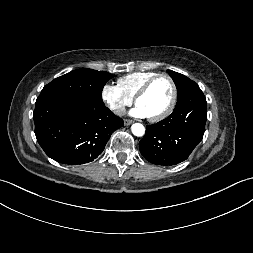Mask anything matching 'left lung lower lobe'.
<instances>
[{"instance_id": "obj_1", "label": "left lung lower lobe", "mask_w": 253, "mask_h": 253, "mask_svg": "<svg viewBox=\"0 0 253 253\" xmlns=\"http://www.w3.org/2000/svg\"><path fill=\"white\" fill-rule=\"evenodd\" d=\"M207 120L206 98L197 84L177 100L172 114L146 127L139 142L142 156L156 165L170 166L188 158L201 142Z\"/></svg>"}]
</instances>
